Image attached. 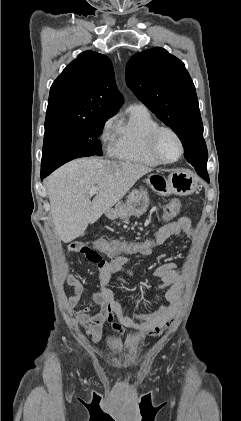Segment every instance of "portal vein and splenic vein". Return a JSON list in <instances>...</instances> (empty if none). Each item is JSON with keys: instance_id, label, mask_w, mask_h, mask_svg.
I'll use <instances>...</instances> for the list:
<instances>
[{"instance_id": "18ae733b", "label": "portal vein and splenic vein", "mask_w": 241, "mask_h": 421, "mask_svg": "<svg viewBox=\"0 0 241 421\" xmlns=\"http://www.w3.org/2000/svg\"><path fill=\"white\" fill-rule=\"evenodd\" d=\"M98 192V188L97 187H92L90 190H89V195H94V194H96Z\"/></svg>"}]
</instances>
